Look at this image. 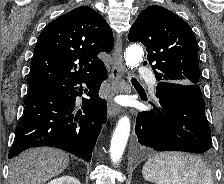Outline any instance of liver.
Returning <instances> with one entry per match:
<instances>
[{
  "instance_id": "liver-1",
  "label": "liver",
  "mask_w": 224,
  "mask_h": 184,
  "mask_svg": "<svg viewBox=\"0 0 224 184\" xmlns=\"http://www.w3.org/2000/svg\"><path fill=\"white\" fill-rule=\"evenodd\" d=\"M69 164V155L50 147L29 149L11 161L9 184H45L61 174Z\"/></svg>"
}]
</instances>
